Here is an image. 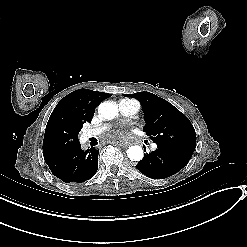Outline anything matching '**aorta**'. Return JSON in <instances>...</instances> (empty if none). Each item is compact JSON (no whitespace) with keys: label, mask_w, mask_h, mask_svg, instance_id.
I'll list each match as a JSON object with an SVG mask.
<instances>
[{"label":"aorta","mask_w":247,"mask_h":247,"mask_svg":"<svg viewBox=\"0 0 247 247\" xmlns=\"http://www.w3.org/2000/svg\"><path fill=\"white\" fill-rule=\"evenodd\" d=\"M98 113L106 120H112L118 115V107L110 101L102 102L99 105ZM127 155L131 161H140L143 158V149L140 146H131L127 150Z\"/></svg>","instance_id":"762f6f07"}]
</instances>
